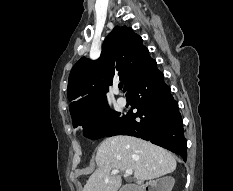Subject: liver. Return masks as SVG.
<instances>
[{
	"mask_svg": "<svg viewBox=\"0 0 233 191\" xmlns=\"http://www.w3.org/2000/svg\"><path fill=\"white\" fill-rule=\"evenodd\" d=\"M97 169L89 177L82 191H118L120 175L112 170L131 169L137 180H152L173 172L177 162L167 150L131 136H114L105 139L95 156Z\"/></svg>",
	"mask_w": 233,
	"mask_h": 191,
	"instance_id": "liver-1",
	"label": "liver"
}]
</instances>
